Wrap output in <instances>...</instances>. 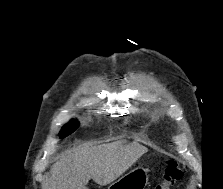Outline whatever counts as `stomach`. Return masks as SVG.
Here are the masks:
<instances>
[{
  "instance_id": "obj_1",
  "label": "stomach",
  "mask_w": 223,
  "mask_h": 189,
  "mask_svg": "<svg viewBox=\"0 0 223 189\" xmlns=\"http://www.w3.org/2000/svg\"><path fill=\"white\" fill-rule=\"evenodd\" d=\"M148 182V170L136 167L113 182L108 189H145Z\"/></svg>"
}]
</instances>
